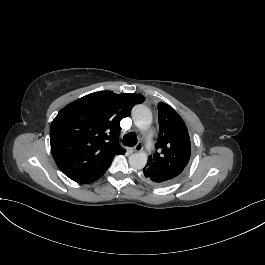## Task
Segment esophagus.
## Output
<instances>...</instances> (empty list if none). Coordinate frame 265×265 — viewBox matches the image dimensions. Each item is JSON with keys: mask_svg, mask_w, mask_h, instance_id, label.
<instances>
[{"mask_svg": "<svg viewBox=\"0 0 265 265\" xmlns=\"http://www.w3.org/2000/svg\"><path fill=\"white\" fill-rule=\"evenodd\" d=\"M142 149H143V144H142L141 142L137 143V144L134 146V151H135V152H140Z\"/></svg>", "mask_w": 265, "mask_h": 265, "instance_id": "obj_1", "label": "esophagus"}]
</instances>
